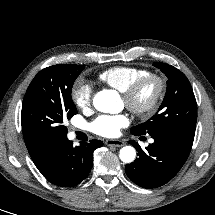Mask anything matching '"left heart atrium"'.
<instances>
[{"mask_svg":"<svg viewBox=\"0 0 215 215\" xmlns=\"http://www.w3.org/2000/svg\"><path fill=\"white\" fill-rule=\"evenodd\" d=\"M129 125V118L126 114L100 115L90 124L93 133L107 138L118 136L120 130Z\"/></svg>","mask_w":215,"mask_h":215,"instance_id":"1","label":"left heart atrium"}]
</instances>
